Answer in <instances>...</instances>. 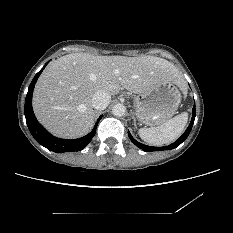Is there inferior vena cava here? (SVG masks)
<instances>
[{"label": "inferior vena cava", "instance_id": "1", "mask_svg": "<svg viewBox=\"0 0 233 233\" xmlns=\"http://www.w3.org/2000/svg\"><path fill=\"white\" fill-rule=\"evenodd\" d=\"M111 96L105 91H97L91 100V105L94 109L104 110L110 103Z\"/></svg>", "mask_w": 233, "mask_h": 233}]
</instances>
